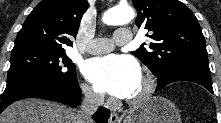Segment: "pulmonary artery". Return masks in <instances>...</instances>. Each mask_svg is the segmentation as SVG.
Returning <instances> with one entry per match:
<instances>
[{"label":"pulmonary artery","instance_id":"pulmonary-artery-1","mask_svg":"<svg viewBox=\"0 0 221 123\" xmlns=\"http://www.w3.org/2000/svg\"><path fill=\"white\" fill-rule=\"evenodd\" d=\"M131 40V32L121 28L115 31L112 39L96 38L87 46V51L91 54H103L111 51L115 45H124Z\"/></svg>","mask_w":221,"mask_h":123}]
</instances>
